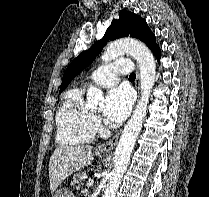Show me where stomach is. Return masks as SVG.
I'll use <instances>...</instances> for the list:
<instances>
[{"label": "stomach", "instance_id": "1", "mask_svg": "<svg viewBox=\"0 0 209 197\" xmlns=\"http://www.w3.org/2000/svg\"><path fill=\"white\" fill-rule=\"evenodd\" d=\"M53 197H74L73 193L68 189H60L55 192Z\"/></svg>", "mask_w": 209, "mask_h": 197}]
</instances>
